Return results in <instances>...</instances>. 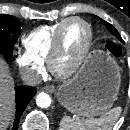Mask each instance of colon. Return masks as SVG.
Returning a JSON list of instances; mask_svg holds the SVG:
<instances>
[{
    "label": "colon",
    "instance_id": "1",
    "mask_svg": "<svg viewBox=\"0 0 130 130\" xmlns=\"http://www.w3.org/2000/svg\"><path fill=\"white\" fill-rule=\"evenodd\" d=\"M107 48H108V50H109L112 54H114V55H118V54H119V49H118V47H117L114 43L108 42V43H107Z\"/></svg>",
    "mask_w": 130,
    "mask_h": 130
}]
</instances>
